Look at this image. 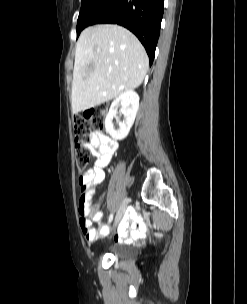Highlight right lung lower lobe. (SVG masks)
I'll return each mask as SVG.
<instances>
[{"label": "right lung lower lobe", "instance_id": "1", "mask_svg": "<svg viewBox=\"0 0 247 304\" xmlns=\"http://www.w3.org/2000/svg\"><path fill=\"white\" fill-rule=\"evenodd\" d=\"M164 0H102L84 19L89 25L110 23L124 26L133 32L145 47L150 65L158 42Z\"/></svg>", "mask_w": 247, "mask_h": 304}]
</instances>
